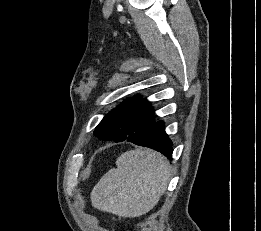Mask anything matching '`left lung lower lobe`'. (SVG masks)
I'll list each match as a JSON object with an SVG mask.
<instances>
[{
	"mask_svg": "<svg viewBox=\"0 0 261 231\" xmlns=\"http://www.w3.org/2000/svg\"><path fill=\"white\" fill-rule=\"evenodd\" d=\"M115 142L129 141L134 144L152 148L163 155L168 159H172V142L170 141L168 135L165 132V126L163 121H155L151 126L149 131L145 136L141 138H119L114 140Z\"/></svg>",
	"mask_w": 261,
	"mask_h": 231,
	"instance_id": "0a47b994",
	"label": "left lung lower lobe"
}]
</instances>
